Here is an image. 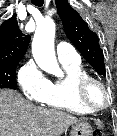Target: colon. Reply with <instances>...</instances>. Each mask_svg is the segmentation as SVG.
<instances>
[{"label": "colon", "mask_w": 117, "mask_h": 136, "mask_svg": "<svg viewBox=\"0 0 117 136\" xmlns=\"http://www.w3.org/2000/svg\"><path fill=\"white\" fill-rule=\"evenodd\" d=\"M95 136H99L101 135V133L99 131H97L96 133H94Z\"/></svg>", "instance_id": "1"}]
</instances>
